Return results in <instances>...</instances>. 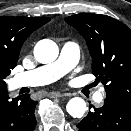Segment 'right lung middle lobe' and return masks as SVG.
<instances>
[{"mask_svg":"<svg viewBox=\"0 0 131 131\" xmlns=\"http://www.w3.org/2000/svg\"><path fill=\"white\" fill-rule=\"evenodd\" d=\"M16 64L17 63L0 62V90L6 89L4 79L10 74L11 69H13Z\"/></svg>","mask_w":131,"mask_h":131,"instance_id":"1","label":"right lung middle lobe"}]
</instances>
